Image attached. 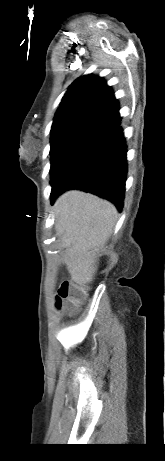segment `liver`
<instances>
[{"label":"liver","mask_w":165,"mask_h":461,"mask_svg":"<svg viewBox=\"0 0 165 461\" xmlns=\"http://www.w3.org/2000/svg\"><path fill=\"white\" fill-rule=\"evenodd\" d=\"M56 236L66 249V264L72 279L84 285L93 281L97 253L110 238L118 212L97 196L67 191L55 202Z\"/></svg>","instance_id":"liver-1"}]
</instances>
